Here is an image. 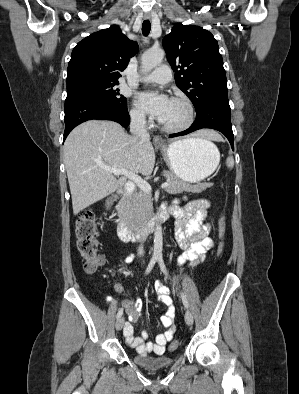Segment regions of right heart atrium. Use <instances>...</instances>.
Instances as JSON below:
<instances>
[{
    "mask_svg": "<svg viewBox=\"0 0 299 394\" xmlns=\"http://www.w3.org/2000/svg\"><path fill=\"white\" fill-rule=\"evenodd\" d=\"M130 117L133 123L137 125H146L147 123V117L145 113L139 109L138 107L134 106L131 111H130Z\"/></svg>",
    "mask_w": 299,
    "mask_h": 394,
    "instance_id": "d8ad5b80",
    "label": "right heart atrium"
}]
</instances>
